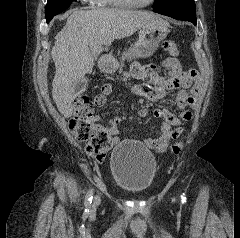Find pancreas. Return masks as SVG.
<instances>
[{
    "label": "pancreas",
    "mask_w": 240,
    "mask_h": 238,
    "mask_svg": "<svg viewBox=\"0 0 240 238\" xmlns=\"http://www.w3.org/2000/svg\"><path fill=\"white\" fill-rule=\"evenodd\" d=\"M126 56H127V52H124V53L122 54V61L125 60ZM120 70H121V68H120Z\"/></svg>",
    "instance_id": "pancreas-1"
}]
</instances>
